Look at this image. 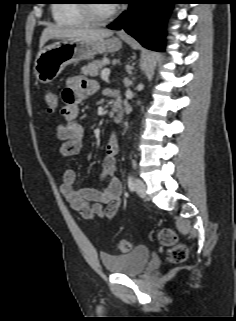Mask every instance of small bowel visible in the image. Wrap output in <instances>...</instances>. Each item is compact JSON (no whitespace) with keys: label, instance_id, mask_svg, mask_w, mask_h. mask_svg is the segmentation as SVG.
<instances>
[{"label":"small bowel","instance_id":"c3829d8e","mask_svg":"<svg viewBox=\"0 0 236 321\" xmlns=\"http://www.w3.org/2000/svg\"><path fill=\"white\" fill-rule=\"evenodd\" d=\"M97 90L96 82L85 77L73 76L67 79V85L62 92L64 107L61 114L64 120L54 127V135L61 142L57 149L59 156L70 157L80 152L84 137V128L79 122L80 104ZM118 150V135L111 132L99 174V179L106 183L103 189L76 187V170L67 169L64 172L61 194L82 217H98L108 221L118 212L123 192L121 182L116 176Z\"/></svg>","mask_w":236,"mask_h":321}]
</instances>
